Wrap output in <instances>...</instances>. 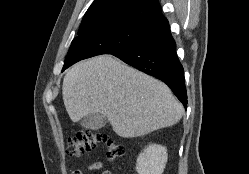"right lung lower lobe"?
<instances>
[{
	"label": "right lung lower lobe",
	"mask_w": 249,
	"mask_h": 174,
	"mask_svg": "<svg viewBox=\"0 0 249 174\" xmlns=\"http://www.w3.org/2000/svg\"><path fill=\"white\" fill-rule=\"evenodd\" d=\"M138 70L165 82L187 108L184 71L167 19L148 26L142 40L112 54Z\"/></svg>",
	"instance_id": "obj_1"
}]
</instances>
